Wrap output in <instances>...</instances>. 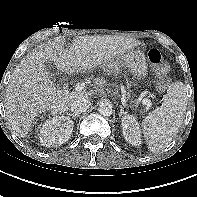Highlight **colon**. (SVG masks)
<instances>
[{
  "label": "colon",
  "mask_w": 197,
  "mask_h": 197,
  "mask_svg": "<svg viewBox=\"0 0 197 197\" xmlns=\"http://www.w3.org/2000/svg\"><path fill=\"white\" fill-rule=\"evenodd\" d=\"M148 60L153 65L157 75V87L160 90L165 89L169 84V65L163 54L158 49L148 51Z\"/></svg>",
  "instance_id": "colon-1"
}]
</instances>
